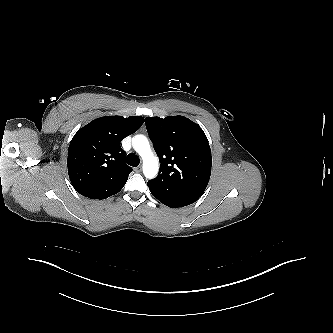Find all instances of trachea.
<instances>
[{"mask_svg": "<svg viewBox=\"0 0 333 333\" xmlns=\"http://www.w3.org/2000/svg\"><path fill=\"white\" fill-rule=\"evenodd\" d=\"M126 162L128 165L133 166V167H137L140 164V160H139L138 156L135 155L134 153H130L127 156Z\"/></svg>", "mask_w": 333, "mask_h": 333, "instance_id": "3493384b", "label": "trachea"}]
</instances>
